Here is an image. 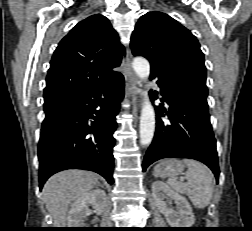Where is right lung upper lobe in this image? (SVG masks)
<instances>
[{"mask_svg":"<svg viewBox=\"0 0 252 231\" xmlns=\"http://www.w3.org/2000/svg\"><path fill=\"white\" fill-rule=\"evenodd\" d=\"M123 46L109 20L92 15L79 22L60 41L48 70L44 103L65 101L83 90L103 86L121 73Z\"/></svg>","mask_w":252,"mask_h":231,"instance_id":"1","label":"right lung upper lobe"}]
</instances>
